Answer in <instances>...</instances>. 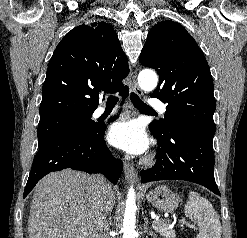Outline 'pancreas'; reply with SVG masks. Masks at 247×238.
Returning a JSON list of instances; mask_svg holds the SVG:
<instances>
[{
    "label": "pancreas",
    "mask_w": 247,
    "mask_h": 238,
    "mask_svg": "<svg viewBox=\"0 0 247 238\" xmlns=\"http://www.w3.org/2000/svg\"><path fill=\"white\" fill-rule=\"evenodd\" d=\"M170 221L159 220L152 224L153 229L165 238H175V230L169 227Z\"/></svg>",
    "instance_id": "1"
}]
</instances>
